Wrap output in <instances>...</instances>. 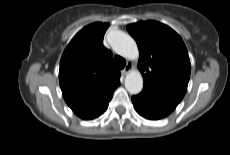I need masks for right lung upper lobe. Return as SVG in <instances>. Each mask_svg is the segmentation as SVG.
<instances>
[{
	"label": "right lung upper lobe",
	"instance_id": "obj_1",
	"mask_svg": "<svg viewBox=\"0 0 230 155\" xmlns=\"http://www.w3.org/2000/svg\"><path fill=\"white\" fill-rule=\"evenodd\" d=\"M108 23H93L80 30L60 61L59 82L63 97L82 119H93L108 107L120 85V71L112 53L103 46Z\"/></svg>",
	"mask_w": 230,
	"mask_h": 155
}]
</instances>
